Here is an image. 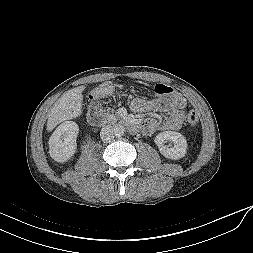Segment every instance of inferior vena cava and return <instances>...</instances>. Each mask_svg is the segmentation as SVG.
I'll return each mask as SVG.
<instances>
[{"instance_id": "602c4592", "label": "inferior vena cava", "mask_w": 253, "mask_h": 253, "mask_svg": "<svg viewBox=\"0 0 253 253\" xmlns=\"http://www.w3.org/2000/svg\"><path fill=\"white\" fill-rule=\"evenodd\" d=\"M114 129L112 126H105L101 129L100 137L103 142H110L114 139Z\"/></svg>"}]
</instances>
